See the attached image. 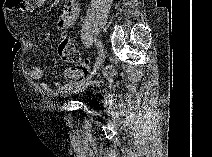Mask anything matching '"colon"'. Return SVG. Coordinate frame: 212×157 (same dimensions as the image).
<instances>
[{
    "instance_id": "obj_1",
    "label": "colon",
    "mask_w": 212,
    "mask_h": 157,
    "mask_svg": "<svg viewBox=\"0 0 212 157\" xmlns=\"http://www.w3.org/2000/svg\"><path fill=\"white\" fill-rule=\"evenodd\" d=\"M58 55L62 61L76 65L75 75L79 79H85L89 73L88 67L84 64L82 56L76 47L74 40L64 37L58 44Z\"/></svg>"
}]
</instances>
